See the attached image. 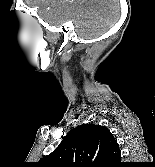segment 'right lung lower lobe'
<instances>
[{
  "mask_svg": "<svg viewBox=\"0 0 155 167\" xmlns=\"http://www.w3.org/2000/svg\"><path fill=\"white\" fill-rule=\"evenodd\" d=\"M127 166L125 163H120L117 167H125Z\"/></svg>",
  "mask_w": 155,
  "mask_h": 167,
  "instance_id": "obj_1",
  "label": "right lung lower lobe"
}]
</instances>
